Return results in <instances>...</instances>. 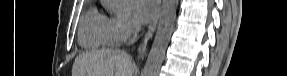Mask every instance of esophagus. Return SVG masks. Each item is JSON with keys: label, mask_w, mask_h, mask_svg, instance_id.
Segmentation results:
<instances>
[{"label": "esophagus", "mask_w": 287, "mask_h": 76, "mask_svg": "<svg viewBox=\"0 0 287 76\" xmlns=\"http://www.w3.org/2000/svg\"><path fill=\"white\" fill-rule=\"evenodd\" d=\"M157 3H158L157 13H156L154 19L152 20V22L150 23V25L148 27V30H147V32H146V34L144 36L143 43L138 48V53H141V52L144 51L147 41L149 40V38L152 37V35H153V33H154L155 29H156L158 20L160 18L161 10H162V1L158 0Z\"/></svg>", "instance_id": "34e87169"}]
</instances>
